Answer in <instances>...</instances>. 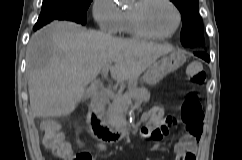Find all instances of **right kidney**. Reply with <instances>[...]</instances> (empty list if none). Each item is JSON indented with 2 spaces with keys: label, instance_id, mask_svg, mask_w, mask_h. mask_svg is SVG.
I'll return each instance as SVG.
<instances>
[{
  "label": "right kidney",
  "instance_id": "right-kidney-1",
  "mask_svg": "<svg viewBox=\"0 0 242 160\" xmlns=\"http://www.w3.org/2000/svg\"><path fill=\"white\" fill-rule=\"evenodd\" d=\"M77 142H78L79 144H81V142H80L79 140H78Z\"/></svg>",
  "mask_w": 242,
  "mask_h": 160
}]
</instances>
